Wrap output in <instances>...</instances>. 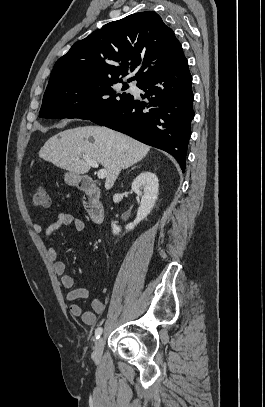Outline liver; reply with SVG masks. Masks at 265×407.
I'll use <instances>...</instances> for the list:
<instances>
[{
    "label": "liver",
    "instance_id": "obj_1",
    "mask_svg": "<svg viewBox=\"0 0 265 407\" xmlns=\"http://www.w3.org/2000/svg\"><path fill=\"white\" fill-rule=\"evenodd\" d=\"M150 147L107 127L83 126L64 130L49 138L39 156L57 167L85 174L90 170L82 156H88L107 171L105 188L114 185L120 171L141 161Z\"/></svg>",
    "mask_w": 265,
    "mask_h": 407
}]
</instances>
